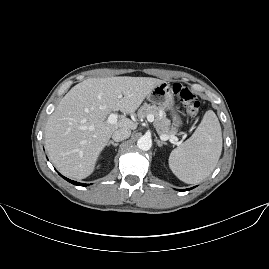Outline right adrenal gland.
Here are the masks:
<instances>
[{
    "mask_svg": "<svg viewBox=\"0 0 269 269\" xmlns=\"http://www.w3.org/2000/svg\"><path fill=\"white\" fill-rule=\"evenodd\" d=\"M111 144H112L113 146H118V145H119V143H115V142L112 141V140L108 141L106 145H107V146H110Z\"/></svg>",
    "mask_w": 269,
    "mask_h": 269,
    "instance_id": "obj_1",
    "label": "right adrenal gland"
}]
</instances>
